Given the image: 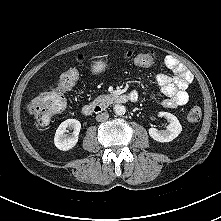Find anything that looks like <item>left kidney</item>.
I'll list each match as a JSON object with an SVG mask.
<instances>
[{
	"mask_svg": "<svg viewBox=\"0 0 221 221\" xmlns=\"http://www.w3.org/2000/svg\"><path fill=\"white\" fill-rule=\"evenodd\" d=\"M160 117H164L169 122V125L167 126L166 130H157L156 128H150L148 130L149 135L151 138L158 142H170L173 139H175L182 131V126L177 119L176 116H174L171 113L168 112H159Z\"/></svg>",
	"mask_w": 221,
	"mask_h": 221,
	"instance_id": "1",
	"label": "left kidney"
}]
</instances>
